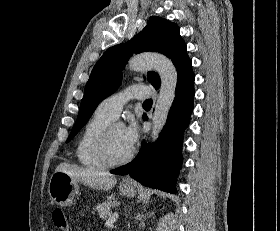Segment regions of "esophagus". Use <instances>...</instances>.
<instances>
[{
	"label": "esophagus",
	"instance_id": "esophagus-1",
	"mask_svg": "<svg viewBox=\"0 0 280 231\" xmlns=\"http://www.w3.org/2000/svg\"><path fill=\"white\" fill-rule=\"evenodd\" d=\"M125 179H129V177H125Z\"/></svg>",
	"mask_w": 280,
	"mask_h": 231
}]
</instances>
